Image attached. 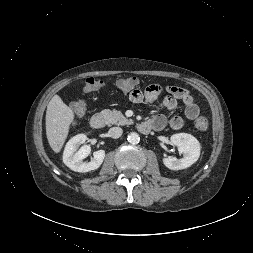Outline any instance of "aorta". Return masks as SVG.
I'll return each instance as SVG.
<instances>
[{
	"label": "aorta",
	"instance_id": "aorta-1",
	"mask_svg": "<svg viewBox=\"0 0 253 253\" xmlns=\"http://www.w3.org/2000/svg\"><path fill=\"white\" fill-rule=\"evenodd\" d=\"M127 140L129 143L131 144H137L140 141V137L138 135V133L136 132H131L128 137Z\"/></svg>",
	"mask_w": 253,
	"mask_h": 253
}]
</instances>
